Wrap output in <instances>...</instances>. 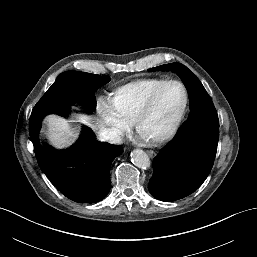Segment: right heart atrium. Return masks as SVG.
Masks as SVG:
<instances>
[{
  "label": "right heart atrium",
  "instance_id": "1",
  "mask_svg": "<svg viewBox=\"0 0 257 257\" xmlns=\"http://www.w3.org/2000/svg\"><path fill=\"white\" fill-rule=\"evenodd\" d=\"M99 114L110 141H118L132 126V121L118 111L111 98L99 102Z\"/></svg>",
  "mask_w": 257,
  "mask_h": 257
}]
</instances>
